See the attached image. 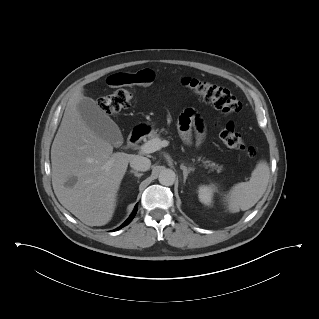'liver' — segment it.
Returning <instances> with one entry per match:
<instances>
[{
    "label": "liver",
    "mask_w": 319,
    "mask_h": 319,
    "mask_svg": "<svg viewBox=\"0 0 319 319\" xmlns=\"http://www.w3.org/2000/svg\"><path fill=\"white\" fill-rule=\"evenodd\" d=\"M84 98L77 90L69 99L51 147L52 186L59 202L88 226L107 224L115 211L117 192L134 155L113 153L77 110ZM70 177L76 183L66 187Z\"/></svg>",
    "instance_id": "obj_1"
}]
</instances>
